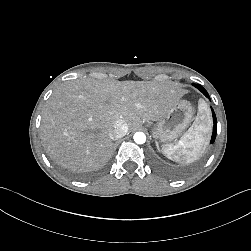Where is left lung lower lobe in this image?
Segmentation results:
<instances>
[{
  "instance_id": "left-lung-lower-lobe-1",
  "label": "left lung lower lobe",
  "mask_w": 251,
  "mask_h": 251,
  "mask_svg": "<svg viewBox=\"0 0 251 251\" xmlns=\"http://www.w3.org/2000/svg\"><path fill=\"white\" fill-rule=\"evenodd\" d=\"M211 112H212V120H213V126H212V135L210 138V144H212L215 141V137H216V132H217V121H216V116L214 113L213 108L211 107ZM159 167L156 168V170L162 174V175H166L169 177H178L181 176L184 171L187 170L186 167L184 166H176V165H170V164H166V163H157Z\"/></svg>"
}]
</instances>
